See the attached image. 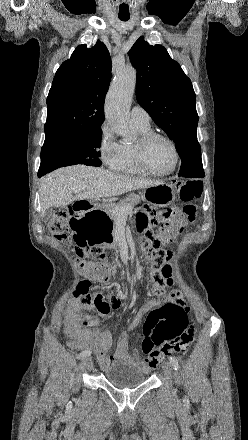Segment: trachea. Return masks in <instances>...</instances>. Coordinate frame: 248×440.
<instances>
[{
  "mask_svg": "<svg viewBox=\"0 0 248 440\" xmlns=\"http://www.w3.org/2000/svg\"><path fill=\"white\" fill-rule=\"evenodd\" d=\"M130 18L129 15H119V19L122 21H127Z\"/></svg>",
  "mask_w": 248,
  "mask_h": 440,
  "instance_id": "obj_1",
  "label": "trachea"
}]
</instances>
